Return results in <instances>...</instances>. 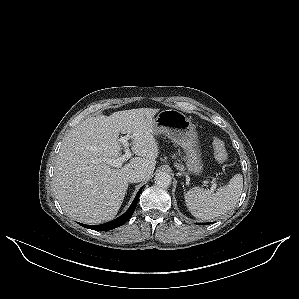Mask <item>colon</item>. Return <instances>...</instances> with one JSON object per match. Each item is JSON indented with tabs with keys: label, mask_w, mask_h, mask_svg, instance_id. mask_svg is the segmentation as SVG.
Listing matches in <instances>:
<instances>
[{
	"label": "colon",
	"mask_w": 299,
	"mask_h": 299,
	"mask_svg": "<svg viewBox=\"0 0 299 299\" xmlns=\"http://www.w3.org/2000/svg\"><path fill=\"white\" fill-rule=\"evenodd\" d=\"M211 145L213 148L215 159L219 163H225L228 159V154L224 142L219 138H212Z\"/></svg>",
	"instance_id": "1"
}]
</instances>
